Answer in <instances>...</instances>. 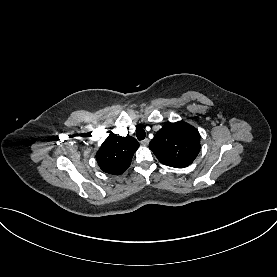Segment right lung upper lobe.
Instances as JSON below:
<instances>
[{"label": "right lung upper lobe", "mask_w": 277, "mask_h": 277, "mask_svg": "<svg viewBox=\"0 0 277 277\" xmlns=\"http://www.w3.org/2000/svg\"><path fill=\"white\" fill-rule=\"evenodd\" d=\"M139 143L133 137H121L110 132L96 154V160L102 171L120 175L129 166Z\"/></svg>", "instance_id": "obj_1"}]
</instances>
